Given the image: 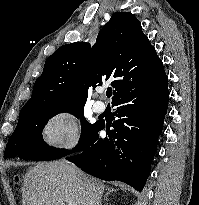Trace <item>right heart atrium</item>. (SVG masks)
Listing matches in <instances>:
<instances>
[{
    "label": "right heart atrium",
    "instance_id": "1",
    "mask_svg": "<svg viewBox=\"0 0 199 205\" xmlns=\"http://www.w3.org/2000/svg\"><path fill=\"white\" fill-rule=\"evenodd\" d=\"M43 143L54 149H73L80 140V127L75 115L68 110L53 113L41 130Z\"/></svg>",
    "mask_w": 199,
    "mask_h": 205
}]
</instances>
